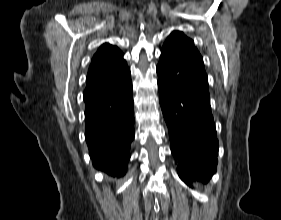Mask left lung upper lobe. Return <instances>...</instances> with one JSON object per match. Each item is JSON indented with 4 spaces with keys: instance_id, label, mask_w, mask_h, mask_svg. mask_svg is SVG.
<instances>
[{
    "instance_id": "left-lung-upper-lobe-1",
    "label": "left lung upper lobe",
    "mask_w": 281,
    "mask_h": 220,
    "mask_svg": "<svg viewBox=\"0 0 281 220\" xmlns=\"http://www.w3.org/2000/svg\"><path fill=\"white\" fill-rule=\"evenodd\" d=\"M162 53H174V52H184L192 56H196L202 59V56L195 48L194 43L191 39L186 37L180 31H174L165 41L162 50Z\"/></svg>"
}]
</instances>
